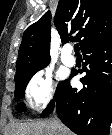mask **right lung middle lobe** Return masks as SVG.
I'll list each match as a JSON object with an SVG mask.
<instances>
[{"mask_svg":"<svg viewBox=\"0 0 112 135\" xmlns=\"http://www.w3.org/2000/svg\"><path fill=\"white\" fill-rule=\"evenodd\" d=\"M42 69V68H41ZM34 73H29V74H23V75H19V76H15V99H21L24 97L25 95V88L29 82V80L31 79V77L35 74ZM62 82L59 83L58 88L60 87ZM57 88V90H58ZM56 90V93H57ZM16 110L18 112H22L25 110V105L23 104H19L16 106Z\"/></svg>","mask_w":112,"mask_h":135,"instance_id":"obj_1","label":"right lung middle lobe"}]
</instances>
